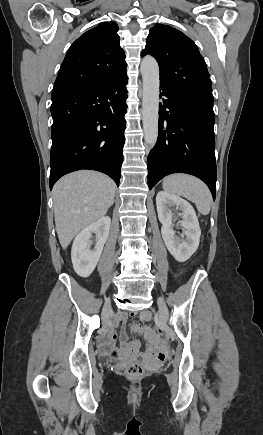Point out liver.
<instances>
[{
    "mask_svg": "<svg viewBox=\"0 0 263 435\" xmlns=\"http://www.w3.org/2000/svg\"><path fill=\"white\" fill-rule=\"evenodd\" d=\"M116 185L108 176L81 170L62 177L53 188L56 232L66 249L76 234L104 217L114 202Z\"/></svg>",
    "mask_w": 263,
    "mask_h": 435,
    "instance_id": "6515ba94",
    "label": "liver"
}]
</instances>
